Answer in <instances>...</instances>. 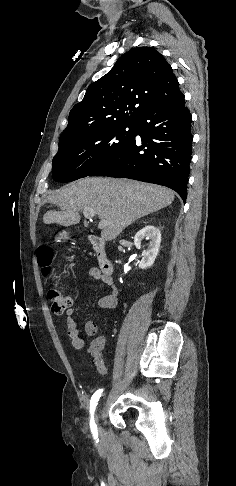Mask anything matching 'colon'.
Segmentation results:
<instances>
[{
    "label": "colon",
    "mask_w": 236,
    "mask_h": 486,
    "mask_svg": "<svg viewBox=\"0 0 236 486\" xmlns=\"http://www.w3.org/2000/svg\"><path fill=\"white\" fill-rule=\"evenodd\" d=\"M38 262L43 267L44 273L51 277L52 252L49 247L39 248ZM48 298L54 313L62 314L71 305L72 298L70 293L62 287H52L48 291Z\"/></svg>",
    "instance_id": "1"
}]
</instances>
